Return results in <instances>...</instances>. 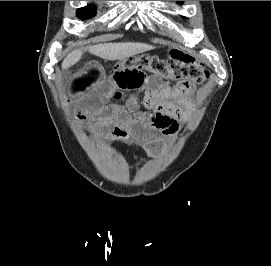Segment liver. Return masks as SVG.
<instances>
[{
  "label": "liver",
  "mask_w": 271,
  "mask_h": 266,
  "mask_svg": "<svg viewBox=\"0 0 271 266\" xmlns=\"http://www.w3.org/2000/svg\"><path fill=\"white\" fill-rule=\"evenodd\" d=\"M154 47L142 43H106L89 47V52L105 60H122L153 49ZM82 57L81 50L69 53L62 62V69H68Z\"/></svg>",
  "instance_id": "obj_1"
}]
</instances>
